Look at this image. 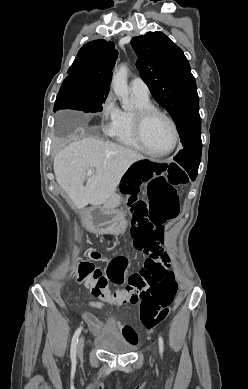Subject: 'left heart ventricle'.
<instances>
[{
  "instance_id": "obj_1",
  "label": "left heart ventricle",
  "mask_w": 248,
  "mask_h": 389,
  "mask_svg": "<svg viewBox=\"0 0 248 389\" xmlns=\"http://www.w3.org/2000/svg\"><path fill=\"white\" fill-rule=\"evenodd\" d=\"M144 139L147 146L155 152L168 150L173 143L170 124L160 115H153L144 127Z\"/></svg>"
}]
</instances>
